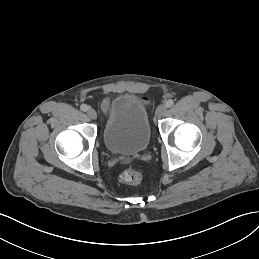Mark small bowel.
<instances>
[{
  "instance_id": "c3829d8e",
  "label": "small bowel",
  "mask_w": 259,
  "mask_h": 259,
  "mask_svg": "<svg viewBox=\"0 0 259 259\" xmlns=\"http://www.w3.org/2000/svg\"><path fill=\"white\" fill-rule=\"evenodd\" d=\"M142 101L146 102L147 100L146 99H143ZM109 99H105L102 104H101V109L104 113H107L108 111V108H109Z\"/></svg>"
}]
</instances>
